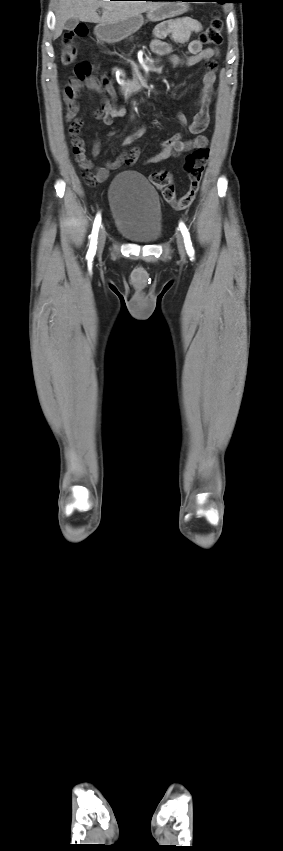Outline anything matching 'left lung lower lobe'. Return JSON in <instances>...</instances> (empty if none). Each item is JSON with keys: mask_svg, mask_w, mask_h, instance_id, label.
Masks as SVG:
<instances>
[{"mask_svg": "<svg viewBox=\"0 0 283 851\" xmlns=\"http://www.w3.org/2000/svg\"><path fill=\"white\" fill-rule=\"evenodd\" d=\"M159 1H164V0H159ZM169 1H174V0H169ZM179 1H180V0H179ZM188 1H189V0H188ZM203 1H216V0H203Z\"/></svg>", "mask_w": 283, "mask_h": 851, "instance_id": "1", "label": "left lung lower lobe"}]
</instances>
